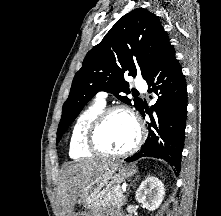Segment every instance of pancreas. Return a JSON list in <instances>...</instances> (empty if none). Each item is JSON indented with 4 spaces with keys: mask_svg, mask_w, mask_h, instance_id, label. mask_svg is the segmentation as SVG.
Instances as JSON below:
<instances>
[{
    "mask_svg": "<svg viewBox=\"0 0 221 216\" xmlns=\"http://www.w3.org/2000/svg\"><path fill=\"white\" fill-rule=\"evenodd\" d=\"M121 192V187L115 186L103 199L100 200L99 203L101 205H116L121 207L124 205L125 201V197Z\"/></svg>",
    "mask_w": 221,
    "mask_h": 216,
    "instance_id": "cf45deb5",
    "label": "pancreas"
}]
</instances>
